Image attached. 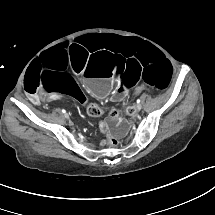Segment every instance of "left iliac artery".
I'll return each mask as SVG.
<instances>
[{
    "mask_svg": "<svg viewBox=\"0 0 215 215\" xmlns=\"http://www.w3.org/2000/svg\"><path fill=\"white\" fill-rule=\"evenodd\" d=\"M137 105L141 106V100L140 99L137 100Z\"/></svg>",
    "mask_w": 215,
    "mask_h": 215,
    "instance_id": "left-iliac-artery-1",
    "label": "left iliac artery"
}]
</instances>
